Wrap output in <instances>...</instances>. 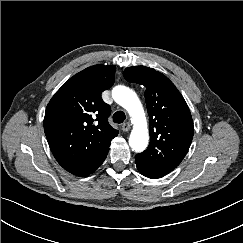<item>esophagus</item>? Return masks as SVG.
<instances>
[{"label":"esophagus","mask_w":243,"mask_h":243,"mask_svg":"<svg viewBox=\"0 0 243 243\" xmlns=\"http://www.w3.org/2000/svg\"><path fill=\"white\" fill-rule=\"evenodd\" d=\"M121 128H122L123 132H128L130 130V124L129 123H123Z\"/></svg>","instance_id":"1"}]
</instances>
